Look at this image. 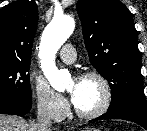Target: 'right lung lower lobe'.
Wrapping results in <instances>:
<instances>
[{
  "mask_svg": "<svg viewBox=\"0 0 147 131\" xmlns=\"http://www.w3.org/2000/svg\"><path fill=\"white\" fill-rule=\"evenodd\" d=\"M31 107V101H20L10 97L0 96V114L22 116L27 114Z\"/></svg>",
  "mask_w": 147,
  "mask_h": 131,
  "instance_id": "98d812e1",
  "label": "right lung lower lobe"
}]
</instances>
